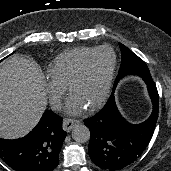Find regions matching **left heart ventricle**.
<instances>
[{"mask_svg":"<svg viewBox=\"0 0 171 171\" xmlns=\"http://www.w3.org/2000/svg\"><path fill=\"white\" fill-rule=\"evenodd\" d=\"M112 64L113 55L109 50L97 53L84 75L73 86L71 94L77 96L87 107L91 106L102 95Z\"/></svg>","mask_w":171,"mask_h":171,"instance_id":"left-heart-ventricle-1","label":"left heart ventricle"}]
</instances>
